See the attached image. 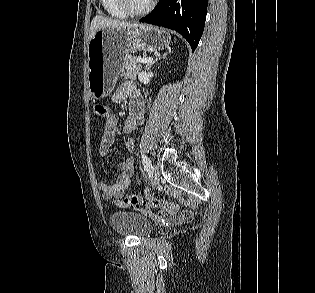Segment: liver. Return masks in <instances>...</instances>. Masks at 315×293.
Returning <instances> with one entry per match:
<instances>
[{
  "instance_id": "6515ba94",
  "label": "liver",
  "mask_w": 315,
  "mask_h": 293,
  "mask_svg": "<svg viewBox=\"0 0 315 293\" xmlns=\"http://www.w3.org/2000/svg\"><path fill=\"white\" fill-rule=\"evenodd\" d=\"M129 25L131 24L128 22H124L118 19L108 18L102 15H97L93 18L91 22V26L89 30V39L91 40L99 29L126 27Z\"/></svg>"
}]
</instances>
